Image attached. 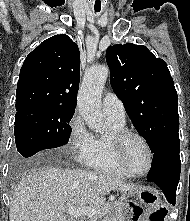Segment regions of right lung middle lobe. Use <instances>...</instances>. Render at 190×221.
<instances>
[{
  "instance_id": "1",
  "label": "right lung middle lobe",
  "mask_w": 190,
  "mask_h": 221,
  "mask_svg": "<svg viewBox=\"0 0 190 221\" xmlns=\"http://www.w3.org/2000/svg\"><path fill=\"white\" fill-rule=\"evenodd\" d=\"M73 114L74 109L47 106L17 112L14 127L17 151L30 158L40 151L67 144Z\"/></svg>"
}]
</instances>
